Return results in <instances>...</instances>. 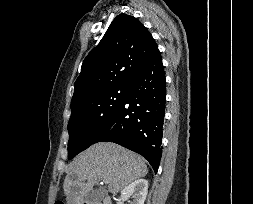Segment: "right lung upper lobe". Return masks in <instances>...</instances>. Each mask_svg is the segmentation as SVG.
<instances>
[{"label":"right lung upper lobe","instance_id":"1","mask_svg":"<svg viewBox=\"0 0 253 204\" xmlns=\"http://www.w3.org/2000/svg\"><path fill=\"white\" fill-rule=\"evenodd\" d=\"M157 51L155 40L138 19L118 15L84 59L71 107L110 88L128 86Z\"/></svg>","mask_w":253,"mask_h":204}]
</instances>
